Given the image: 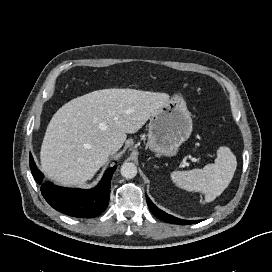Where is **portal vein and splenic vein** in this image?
Returning a JSON list of instances; mask_svg holds the SVG:
<instances>
[{"label": "portal vein and splenic vein", "mask_w": 272, "mask_h": 272, "mask_svg": "<svg viewBox=\"0 0 272 272\" xmlns=\"http://www.w3.org/2000/svg\"><path fill=\"white\" fill-rule=\"evenodd\" d=\"M191 160H192L193 162H198V159H196V158H191ZM184 165H187V163L184 162Z\"/></svg>", "instance_id": "1"}]
</instances>
